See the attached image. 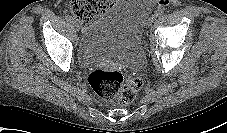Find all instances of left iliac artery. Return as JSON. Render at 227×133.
<instances>
[{"instance_id":"44dca946","label":"left iliac artery","mask_w":227,"mask_h":133,"mask_svg":"<svg viewBox=\"0 0 227 133\" xmlns=\"http://www.w3.org/2000/svg\"><path fill=\"white\" fill-rule=\"evenodd\" d=\"M163 14H164V11L161 10V9L155 11V13H154V15H155L156 17H160V16H162Z\"/></svg>"}]
</instances>
